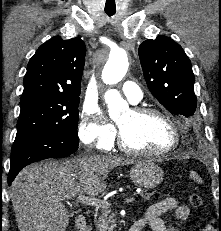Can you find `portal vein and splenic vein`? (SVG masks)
<instances>
[{
    "instance_id": "18ae733b",
    "label": "portal vein and splenic vein",
    "mask_w": 221,
    "mask_h": 231,
    "mask_svg": "<svg viewBox=\"0 0 221 231\" xmlns=\"http://www.w3.org/2000/svg\"><path fill=\"white\" fill-rule=\"evenodd\" d=\"M135 199H136L135 196H129V197L124 198L123 202L130 203V202L135 201ZM75 201L78 203L85 204V205H93V206L102 207V208L110 206V204L106 201H103L97 198L88 197L83 194H78L77 197L75 198Z\"/></svg>"
}]
</instances>
